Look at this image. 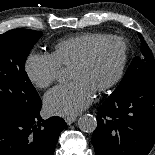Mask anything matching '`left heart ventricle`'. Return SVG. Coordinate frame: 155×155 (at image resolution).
Segmentation results:
<instances>
[{"mask_svg": "<svg viewBox=\"0 0 155 155\" xmlns=\"http://www.w3.org/2000/svg\"><path fill=\"white\" fill-rule=\"evenodd\" d=\"M122 58V46L117 41L106 42L95 52L91 61L79 68H71L70 78L79 80L94 92L116 74Z\"/></svg>", "mask_w": 155, "mask_h": 155, "instance_id": "1", "label": "left heart ventricle"}]
</instances>
